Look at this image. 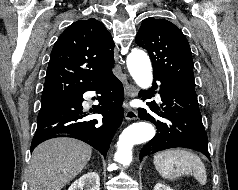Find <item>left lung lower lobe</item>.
<instances>
[{
	"instance_id": "1",
	"label": "left lung lower lobe",
	"mask_w": 238,
	"mask_h": 190,
	"mask_svg": "<svg viewBox=\"0 0 238 190\" xmlns=\"http://www.w3.org/2000/svg\"><path fill=\"white\" fill-rule=\"evenodd\" d=\"M154 79L161 83L159 93L163 103L159 107L154 102H147L150 110L139 109V118L157 127L155 137L143 146L140 160L150 153L175 147L201 151L210 159L195 87L167 77L154 76ZM156 87L154 82L152 90ZM152 90L141 92L139 96L148 99L152 96Z\"/></svg>"
}]
</instances>
